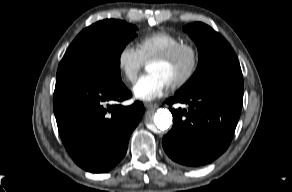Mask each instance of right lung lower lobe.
<instances>
[{
  "mask_svg": "<svg viewBox=\"0 0 292 192\" xmlns=\"http://www.w3.org/2000/svg\"><path fill=\"white\" fill-rule=\"evenodd\" d=\"M131 96L124 84L113 87L85 76H57L53 105L59 134L84 170L107 172L124 157L145 109L138 101L127 107L113 103Z\"/></svg>",
  "mask_w": 292,
  "mask_h": 192,
  "instance_id": "right-lung-lower-lobe-1",
  "label": "right lung lower lobe"
}]
</instances>
